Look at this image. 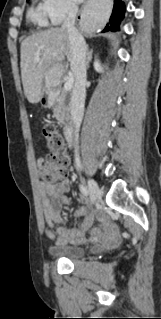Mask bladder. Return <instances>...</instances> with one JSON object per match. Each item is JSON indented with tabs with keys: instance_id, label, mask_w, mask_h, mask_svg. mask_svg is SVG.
Wrapping results in <instances>:
<instances>
[{
	"instance_id": "31cf9c89",
	"label": "bladder",
	"mask_w": 161,
	"mask_h": 319,
	"mask_svg": "<svg viewBox=\"0 0 161 319\" xmlns=\"http://www.w3.org/2000/svg\"><path fill=\"white\" fill-rule=\"evenodd\" d=\"M50 256L60 259H76L83 255V249L78 245L56 242L48 248Z\"/></svg>"
}]
</instances>
